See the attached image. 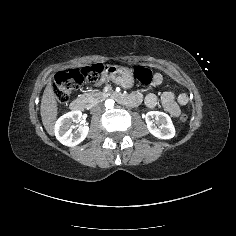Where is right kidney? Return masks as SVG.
<instances>
[{"mask_svg":"<svg viewBox=\"0 0 236 236\" xmlns=\"http://www.w3.org/2000/svg\"><path fill=\"white\" fill-rule=\"evenodd\" d=\"M82 117L81 111H71L61 116L55 124V136L65 146L73 147L81 143L89 132L88 126H80L72 132V122H79Z\"/></svg>","mask_w":236,"mask_h":236,"instance_id":"1","label":"right kidney"}]
</instances>
